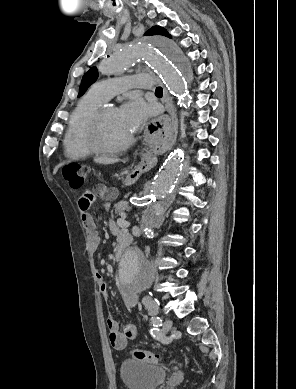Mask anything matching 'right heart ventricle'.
Wrapping results in <instances>:
<instances>
[{
  "instance_id": "right-heart-ventricle-1",
  "label": "right heart ventricle",
  "mask_w": 296,
  "mask_h": 389,
  "mask_svg": "<svg viewBox=\"0 0 296 389\" xmlns=\"http://www.w3.org/2000/svg\"><path fill=\"white\" fill-rule=\"evenodd\" d=\"M105 99L88 92L79 102L64 138L65 153L72 159H85L93 154L89 145L92 121Z\"/></svg>"
}]
</instances>
